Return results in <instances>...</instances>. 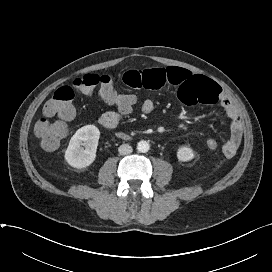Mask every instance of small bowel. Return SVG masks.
Here are the masks:
<instances>
[{"instance_id": "obj_1", "label": "small bowel", "mask_w": 272, "mask_h": 272, "mask_svg": "<svg viewBox=\"0 0 272 272\" xmlns=\"http://www.w3.org/2000/svg\"><path fill=\"white\" fill-rule=\"evenodd\" d=\"M123 82L133 89L158 90L166 86H174L178 89L179 100L188 106L219 104L230 121V135L221 145V150L226 158L230 159L236 155L242 139V120L236 106L217 83L178 67L129 70L124 73ZM154 110L155 105L151 100H146L141 105L143 114L150 115ZM126 114L128 113L119 109L110 110L98 118V123L103 128L114 129L121 117Z\"/></svg>"}]
</instances>
